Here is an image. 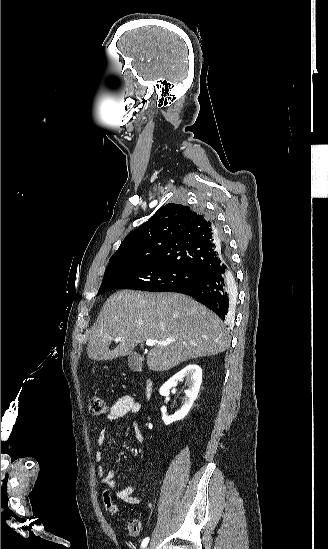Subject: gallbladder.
I'll use <instances>...</instances> for the list:
<instances>
[{
	"label": "gallbladder",
	"instance_id": "gallbladder-1",
	"mask_svg": "<svg viewBox=\"0 0 328 549\" xmlns=\"http://www.w3.org/2000/svg\"><path fill=\"white\" fill-rule=\"evenodd\" d=\"M127 363L131 371H135V373H139V371H142L143 369L141 355H138V353H131L128 357Z\"/></svg>",
	"mask_w": 328,
	"mask_h": 549
}]
</instances>
